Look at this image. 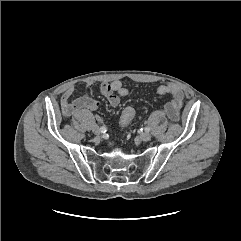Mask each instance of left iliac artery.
Returning <instances> with one entry per match:
<instances>
[{
  "mask_svg": "<svg viewBox=\"0 0 241 241\" xmlns=\"http://www.w3.org/2000/svg\"><path fill=\"white\" fill-rule=\"evenodd\" d=\"M145 131L149 132L150 131V127H145Z\"/></svg>",
  "mask_w": 241,
  "mask_h": 241,
  "instance_id": "1",
  "label": "left iliac artery"
}]
</instances>
